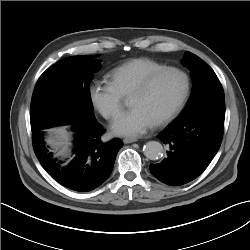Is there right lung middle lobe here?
<instances>
[{
	"mask_svg": "<svg viewBox=\"0 0 250 250\" xmlns=\"http://www.w3.org/2000/svg\"><path fill=\"white\" fill-rule=\"evenodd\" d=\"M100 61L93 56L67 57L40 76L31 101L32 132L96 120L89 83Z\"/></svg>",
	"mask_w": 250,
	"mask_h": 250,
	"instance_id": "1",
	"label": "right lung middle lobe"
}]
</instances>
